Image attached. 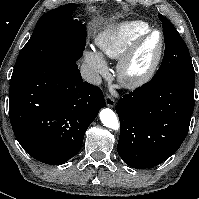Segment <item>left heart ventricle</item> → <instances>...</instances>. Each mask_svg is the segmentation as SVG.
I'll use <instances>...</instances> for the list:
<instances>
[{
    "label": "left heart ventricle",
    "instance_id": "obj_1",
    "mask_svg": "<svg viewBox=\"0 0 199 199\" xmlns=\"http://www.w3.org/2000/svg\"><path fill=\"white\" fill-rule=\"evenodd\" d=\"M159 41V34L154 33L141 45L132 64L133 72L144 71L150 65L157 52Z\"/></svg>",
    "mask_w": 199,
    "mask_h": 199
}]
</instances>
